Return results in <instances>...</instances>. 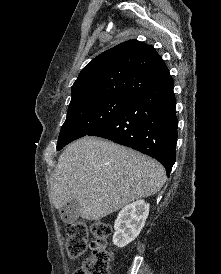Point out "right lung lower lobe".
<instances>
[{"label": "right lung lower lobe", "mask_w": 221, "mask_h": 274, "mask_svg": "<svg viewBox=\"0 0 221 274\" xmlns=\"http://www.w3.org/2000/svg\"><path fill=\"white\" fill-rule=\"evenodd\" d=\"M170 74L133 98L111 120L90 133L158 160L167 175L176 160L177 117Z\"/></svg>", "instance_id": "obj_1"}]
</instances>
